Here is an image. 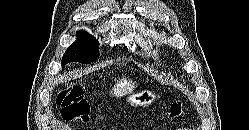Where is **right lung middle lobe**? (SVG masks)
Segmentation results:
<instances>
[{"instance_id": "dd1d6c3e", "label": "right lung middle lobe", "mask_w": 249, "mask_h": 130, "mask_svg": "<svg viewBox=\"0 0 249 130\" xmlns=\"http://www.w3.org/2000/svg\"><path fill=\"white\" fill-rule=\"evenodd\" d=\"M78 39L66 50L63 55L61 65L70 62L91 63L98 56V41L86 32H77Z\"/></svg>"}]
</instances>
